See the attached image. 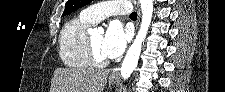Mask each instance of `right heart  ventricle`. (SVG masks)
I'll list each match as a JSON object with an SVG mask.
<instances>
[{
	"mask_svg": "<svg viewBox=\"0 0 225 92\" xmlns=\"http://www.w3.org/2000/svg\"><path fill=\"white\" fill-rule=\"evenodd\" d=\"M93 23L81 15L67 21L59 36V57L73 68L87 69L92 64L87 52V30Z\"/></svg>",
	"mask_w": 225,
	"mask_h": 92,
	"instance_id": "e07e8e85",
	"label": "right heart ventricle"
}]
</instances>
